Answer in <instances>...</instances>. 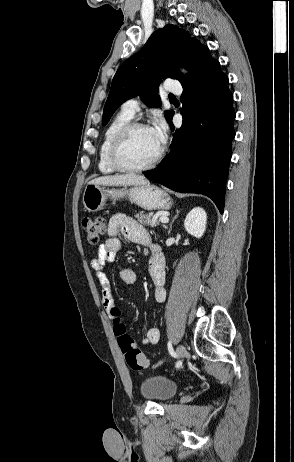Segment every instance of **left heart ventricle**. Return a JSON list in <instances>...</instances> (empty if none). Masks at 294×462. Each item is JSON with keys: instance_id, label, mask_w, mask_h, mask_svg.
I'll use <instances>...</instances> for the list:
<instances>
[{"instance_id": "b2bd125f", "label": "left heart ventricle", "mask_w": 294, "mask_h": 462, "mask_svg": "<svg viewBox=\"0 0 294 462\" xmlns=\"http://www.w3.org/2000/svg\"><path fill=\"white\" fill-rule=\"evenodd\" d=\"M160 147L150 129L134 131L122 149L123 160L132 166H141L151 161L159 152Z\"/></svg>"}]
</instances>
